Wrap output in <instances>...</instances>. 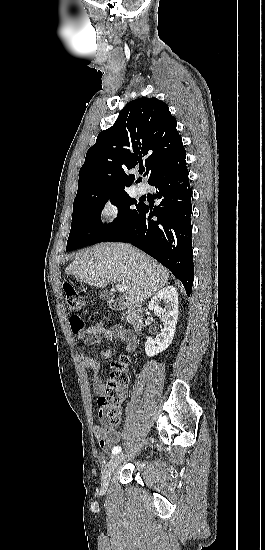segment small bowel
Returning <instances> with one entry per match:
<instances>
[{
	"instance_id": "c3829d8e",
	"label": "small bowel",
	"mask_w": 265,
	"mask_h": 550,
	"mask_svg": "<svg viewBox=\"0 0 265 550\" xmlns=\"http://www.w3.org/2000/svg\"><path fill=\"white\" fill-rule=\"evenodd\" d=\"M79 339H87L91 342H96L100 338H104L108 341H122L126 350L133 351L136 348L137 342L135 336L128 330L121 327L106 328L102 324H95L81 331L74 333ZM112 349L104 350L98 358L83 357V365L89 368L93 374V388L97 395L101 396L104 383L97 376L102 369V362L108 360L112 356ZM94 434L98 441L100 448L104 451L108 450L112 444L118 443L121 439V434L111 425H109L103 414L99 413V421L94 426Z\"/></svg>"
}]
</instances>
